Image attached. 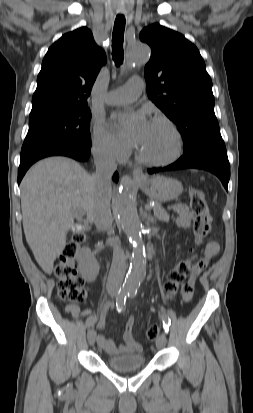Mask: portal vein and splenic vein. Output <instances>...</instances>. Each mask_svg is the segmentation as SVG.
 Segmentation results:
<instances>
[{
  "instance_id": "portal-vein-and-splenic-vein-1",
  "label": "portal vein and splenic vein",
  "mask_w": 253,
  "mask_h": 413,
  "mask_svg": "<svg viewBox=\"0 0 253 413\" xmlns=\"http://www.w3.org/2000/svg\"><path fill=\"white\" fill-rule=\"evenodd\" d=\"M145 208L151 210L153 207H152L151 205L147 204V205L145 206ZM75 214H76L77 216H82V215H83V212L80 211V210H77V211H75Z\"/></svg>"
}]
</instances>
